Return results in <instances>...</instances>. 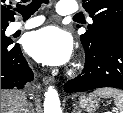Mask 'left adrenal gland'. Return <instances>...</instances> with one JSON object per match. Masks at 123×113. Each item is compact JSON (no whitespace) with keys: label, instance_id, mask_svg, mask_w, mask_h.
Wrapping results in <instances>:
<instances>
[{"label":"left adrenal gland","instance_id":"left-adrenal-gland-1","mask_svg":"<svg viewBox=\"0 0 123 113\" xmlns=\"http://www.w3.org/2000/svg\"><path fill=\"white\" fill-rule=\"evenodd\" d=\"M76 111L74 110L73 113H75ZM80 111H77V113H79Z\"/></svg>","mask_w":123,"mask_h":113}]
</instances>
